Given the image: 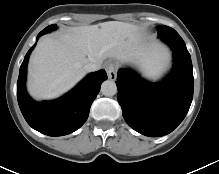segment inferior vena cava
I'll return each mask as SVG.
<instances>
[{
  "label": "inferior vena cava",
  "mask_w": 219,
  "mask_h": 174,
  "mask_svg": "<svg viewBox=\"0 0 219 174\" xmlns=\"http://www.w3.org/2000/svg\"><path fill=\"white\" fill-rule=\"evenodd\" d=\"M98 69H99V66L95 63H87L84 66L85 72H94V71H97Z\"/></svg>",
  "instance_id": "602c4592"
}]
</instances>
